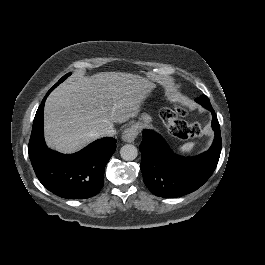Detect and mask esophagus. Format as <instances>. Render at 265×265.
<instances>
[{
  "label": "esophagus",
  "instance_id": "34e87169",
  "mask_svg": "<svg viewBox=\"0 0 265 265\" xmlns=\"http://www.w3.org/2000/svg\"><path fill=\"white\" fill-rule=\"evenodd\" d=\"M138 134V127L136 125H133L129 128H127L124 133L122 134V140L124 142L132 143Z\"/></svg>",
  "mask_w": 265,
  "mask_h": 265
}]
</instances>
